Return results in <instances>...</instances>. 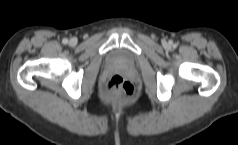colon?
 Instances as JSON below:
<instances>
[{
	"instance_id": "5ec220e1",
	"label": "colon",
	"mask_w": 238,
	"mask_h": 145,
	"mask_svg": "<svg viewBox=\"0 0 238 145\" xmlns=\"http://www.w3.org/2000/svg\"><path fill=\"white\" fill-rule=\"evenodd\" d=\"M134 87L125 78L114 75L106 84V94L117 102H123L133 97Z\"/></svg>"
}]
</instances>
